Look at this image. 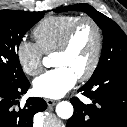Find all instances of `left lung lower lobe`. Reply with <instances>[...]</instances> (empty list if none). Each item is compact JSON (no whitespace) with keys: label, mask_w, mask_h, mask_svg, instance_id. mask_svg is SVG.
I'll return each mask as SVG.
<instances>
[{"label":"left lung lower lobe","mask_w":127,"mask_h":127,"mask_svg":"<svg viewBox=\"0 0 127 127\" xmlns=\"http://www.w3.org/2000/svg\"><path fill=\"white\" fill-rule=\"evenodd\" d=\"M92 100L70 99L73 116L66 127H127V66L112 68L78 90Z\"/></svg>","instance_id":"1"}]
</instances>
